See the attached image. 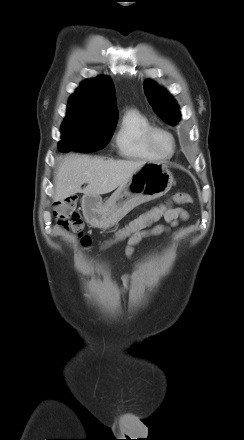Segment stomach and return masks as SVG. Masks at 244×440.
I'll return each mask as SVG.
<instances>
[{
	"instance_id": "stomach-1",
	"label": "stomach",
	"mask_w": 244,
	"mask_h": 440,
	"mask_svg": "<svg viewBox=\"0 0 244 440\" xmlns=\"http://www.w3.org/2000/svg\"><path fill=\"white\" fill-rule=\"evenodd\" d=\"M173 184V175L165 163L147 162L106 202L100 196L85 195L82 198L84 216L93 227L110 228L135 207L165 195Z\"/></svg>"
}]
</instances>
